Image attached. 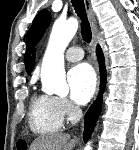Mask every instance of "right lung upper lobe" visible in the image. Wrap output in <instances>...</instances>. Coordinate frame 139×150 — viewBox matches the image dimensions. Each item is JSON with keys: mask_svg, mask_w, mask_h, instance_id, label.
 Instances as JSON below:
<instances>
[{"mask_svg": "<svg viewBox=\"0 0 139 150\" xmlns=\"http://www.w3.org/2000/svg\"><path fill=\"white\" fill-rule=\"evenodd\" d=\"M34 59H35V54L33 55L32 57V61H31V67H30V71L32 70V67H33V63H34Z\"/></svg>", "mask_w": 139, "mask_h": 150, "instance_id": "obj_1", "label": "right lung upper lobe"}]
</instances>
